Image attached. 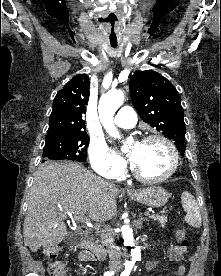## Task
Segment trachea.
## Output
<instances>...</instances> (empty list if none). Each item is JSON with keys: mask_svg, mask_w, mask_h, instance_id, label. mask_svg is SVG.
Instances as JSON below:
<instances>
[{"mask_svg": "<svg viewBox=\"0 0 221 276\" xmlns=\"http://www.w3.org/2000/svg\"><path fill=\"white\" fill-rule=\"evenodd\" d=\"M112 34H114V31L112 32ZM115 35V34H114ZM111 46L113 47V48H115V47H117V42H111Z\"/></svg>", "mask_w": 221, "mask_h": 276, "instance_id": "trachea-1", "label": "trachea"}]
</instances>
